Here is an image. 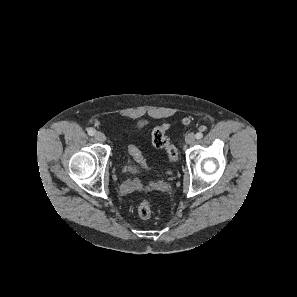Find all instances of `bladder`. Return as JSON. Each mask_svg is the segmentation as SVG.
Masks as SVG:
<instances>
[{
    "label": "bladder",
    "mask_w": 297,
    "mask_h": 297,
    "mask_svg": "<svg viewBox=\"0 0 297 297\" xmlns=\"http://www.w3.org/2000/svg\"><path fill=\"white\" fill-rule=\"evenodd\" d=\"M126 169H127L128 171H130V172H135V171H136V169H135L133 166H131V165H127V166H126Z\"/></svg>",
    "instance_id": "obj_1"
}]
</instances>
